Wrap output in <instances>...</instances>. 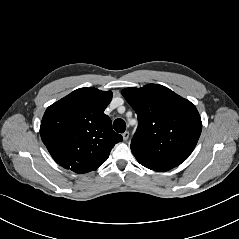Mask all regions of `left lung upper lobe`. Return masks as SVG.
<instances>
[{"label": "left lung upper lobe", "instance_id": "left-lung-upper-lobe-1", "mask_svg": "<svg viewBox=\"0 0 239 239\" xmlns=\"http://www.w3.org/2000/svg\"><path fill=\"white\" fill-rule=\"evenodd\" d=\"M122 95L137 113L138 128L130 146L137 161L155 171L183 163L202 130L194 104L158 84L126 88Z\"/></svg>", "mask_w": 239, "mask_h": 239}]
</instances>
